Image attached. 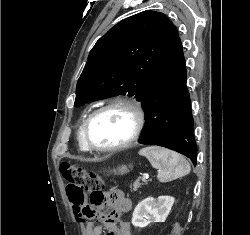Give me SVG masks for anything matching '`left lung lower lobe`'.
I'll return each mask as SVG.
<instances>
[{
	"label": "left lung lower lobe",
	"mask_w": 250,
	"mask_h": 235,
	"mask_svg": "<svg viewBox=\"0 0 250 235\" xmlns=\"http://www.w3.org/2000/svg\"><path fill=\"white\" fill-rule=\"evenodd\" d=\"M186 80L185 59L178 37L142 98L147 124L139 142L177 151L196 165L197 147Z\"/></svg>",
	"instance_id": "left-lung-lower-lobe-1"
}]
</instances>
